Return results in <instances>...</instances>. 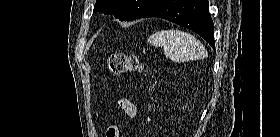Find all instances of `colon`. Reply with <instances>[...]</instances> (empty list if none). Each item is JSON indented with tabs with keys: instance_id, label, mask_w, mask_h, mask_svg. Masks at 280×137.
Wrapping results in <instances>:
<instances>
[{
	"instance_id": "5ec220e1",
	"label": "colon",
	"mask_w": 280,
	"mask_h": 137,
	"mask_svg": "<svg viewBox=\"0 0 280 137\" xmlns=\"http://www.w3.org/2000/svg\"><path fill=\"white\" fill-rule=\"evenodd\" d=\"M144 65L135 54L114 53L107 61L106 73L111 75H123L129 72L143 73ZM105 137H122V133L117 126L109 127Z\"/></svg>"
}]
</instances>
